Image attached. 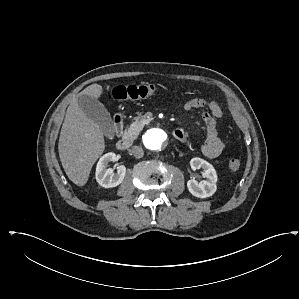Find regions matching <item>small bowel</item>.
I'll return each instance as SVG.
<instances>
[{"instance_id":"obj_1","label":"small bowel","mask_w":299,"mask_h":299,"mask_svg":"<svg viewBox=\"0 0 299 299\" xmlns=\"http://www.w3.org/2000/svg\"><path fill=\"white\" fill-rule=\"evenodd\" d=\"M200 108L205 109L203 120L206 128V139L202 146V152L208 158H216L223 152L225 147L224 142L217 134V119L223 116V110L217 101L203 98H192L184 104L186 112Z\"/></svg>"}]
</instances>
